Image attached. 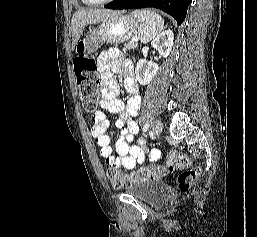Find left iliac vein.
Returning <instances> with one entry per match:
<instances>
[{
  "mask_svg": "<svg viewBox=\"0 0 257 237\" xmlns=\"http://www.w3.org/2000/svg\"><path fill=\"white\" fill-rule=\"evenodd\" d=\"M163 129V124L160 120H156L152 126L153 135L159 137Z\"/></svg>",
  "mask_w": 257,
  "mask_h": 237,
  "instance_id": "4c4485c4",
  "label": "left iliac vein"
}]
</instances>
